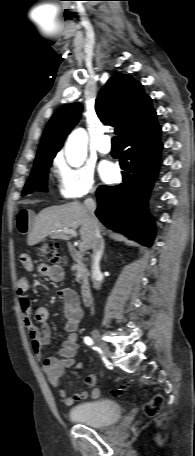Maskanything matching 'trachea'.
<instances>
[{
    "label": "trachea",
    "instance_id": "3493384b",
    "mask_svg": "<svg viewBox=\"0 0 195 456\" xmlns=\"http://www.w3.org/2000/svg\"><path fill=\"white\" fill-rule=\"evenodd\" d=\"M112 146L113 147H120V138H119V136H114L112 138Z\"/></svg>",
    "mask_w": 195,
    "mask_h": 456
}]
</instances>
